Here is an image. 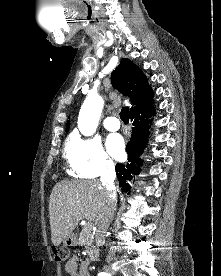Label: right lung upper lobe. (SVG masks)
Segmentation results:
<instances>
[{
    "instance_id": "right-lung-upper-lobe-1",
    "label": "right lung upper lobe",
    "mask_w": 221,
    "mask_h": 276,
    "mask_svg": "<svg viewBox=\"0 0 221 276\" xmlns=\"http://www.w3.org/2000/svg\"><path fill=\"white\" fill-rule=\"evenodd\" d=\"M111 81L114 88L131 99L133 106L130 114L153 103V91L148 85L147 78L129 59H121L120 65L112 72ZM68 129L69 122L67 123Z\"/></svg>"
}]
</instances>
